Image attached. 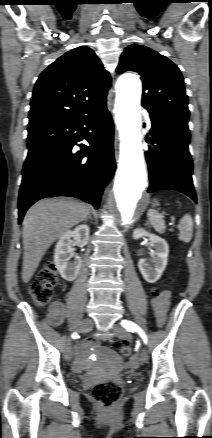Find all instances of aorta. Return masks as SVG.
<instances>
[{
  "label": "aorta",
  "instance_id": "1",
  "mask_svg": "<svg viewBox=\"0 0 212 438\" xmlns=\"http://www.w3.org/2000/svg\"><path fill=\"white\" fill-rule=\"evenodd\" d=\"M141 90V81L136 75L127 74L118 79L115 120L121 144L119 167L114 182V208L123 225L129 224L135 218L137 204L147 181L140 131Z\"/></svg>",
  "mask_w": 212,
  "mask_h": 438
}]
</instances>
